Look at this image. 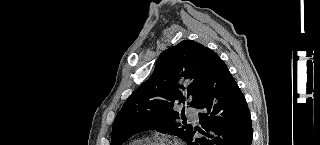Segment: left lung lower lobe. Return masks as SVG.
Wrapping results in <instances>:
<instances>
[{
    "mask_svg": "<svg viewBox=\"0 0 320 145\" xmlns=\"http://www.w3.org/2000/svg\"><path fill=\"white\" fill-rule=\"evenodd\" d=\"M198 109L203 129H193L188 145H251L253 132L245 97L221 59L204 77ZM197 130L205 137L195 138Z\"/></svg>",
    "mask_w": 320,
    "mask_h": 145,
    "instance_id": "obj_1",
    "label": "left lung lower lobe"
}]
</instances>
